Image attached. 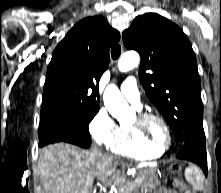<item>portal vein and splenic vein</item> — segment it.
<instances>
[{
	"instance_id": "portal-vein-and-splenic-vein-1",
	"label": "portal vein and splenic vein",
	"mask_w": 221,
	"mask_h": 193,
	"mask_svg": "<svg viewBox=\"0 0 221 193\" xmlns=\"http://www.w3.org/2000/svg\"><path fill=\"white\" fill-rule=\"evenodd\" d=\"M141 184V179L140 178H135L134 181L131 182L132 186H138Z\"/></svg>"
}]
</instances>
